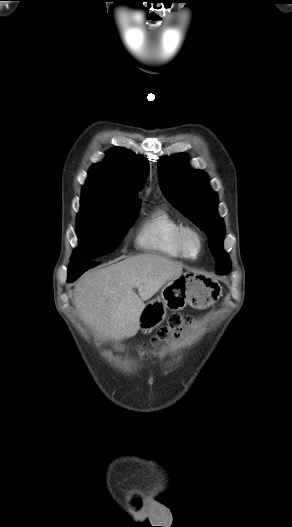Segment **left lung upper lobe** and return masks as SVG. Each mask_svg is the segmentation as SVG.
<instances>
[{
    "instance_id": "left-lung-upper-lobe-1",
    "label": "left lung upper lobe",
    "mask_w": 292,
    "mask_h": 527,
    "mask_svg": "<svg viewBox=\"0 0 292 527\" xmlns=\"http://www.w3.org/2000/svg\"><path fill=\"white\" fill-rule=\"evenodd\" d=\"M158 175L160 188L169 202L208 236L217 263L216 273L228 271L231 262L223 250L224 223L217 212V194L210 189L206 173L191 169L187 156L177 154L159 160Z\"/></svg>"
}]
</instances>
